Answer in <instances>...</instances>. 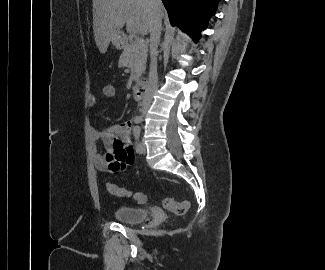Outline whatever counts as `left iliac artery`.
<instances>
[{
    "instance_id": "1",
    "label": "left iliac artery",
    "mask_w": 325,
    "mask_h": 270,
    "mask_svg": "<svg viewBox=\"0 0 325 270\" xmlns=\"http://www.w3.org/2000/svg\"><path fill=\"white\" fill-rule=\"evenodd\" d=\"M140 133H141V128L139 126H135L133 128V135L135 138V149L137 152L140 150V141H139Z\"/></svg>"
}]
</instances>
